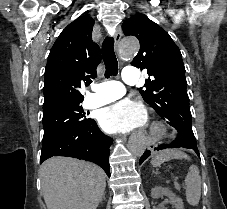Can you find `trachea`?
Wrapping results in <instances>:
<instances>
[{"label": "trachea", "mask_w": 227, "mask_h": 209, "mask_svg": "<svg viewBox=\"0 0 227 209\" xmlns=\"http://www.w3.org/2000/svg\"><path fill=\"white\" fill-rule=\"evenodd\" d=\"M114 40L111 37H106L102 45V58L105 64V77L109 78L111 75H117L118 62L114 53ZM91 81L88 82L90 84Z\"/></svg>", "instance_id": "obj_1"}]
</instances>
